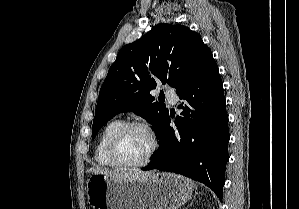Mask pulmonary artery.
<instances>
[{
  "mask_svg": "<svg viewBox=\"0 0 299 209\" xmlns=\"http://www.w3.org/2000/svg\"><path fill=\"white\" fill-rule=\"evenodd\" d=\"M165 95L167 97V99L172 103V104H176L178 101V96L176 94V92L172 89H166L165 90Z\"/></svg>",
  "mask_w": 299,
  "mask_h": 209,
  "instance_id": "obj_1",
  "label": "pulmonary artery"
}]
</instances>
